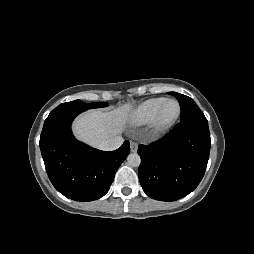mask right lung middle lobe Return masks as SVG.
<instances>
[{"label":"right lung middle lobe","mask_w":254,"mask_h":254,"mask_svg":"<svg viewBox=\"0 0 254 254\" xmlns=\"http://www.w3.org/2000/svg\"><path fill=\"white\" fill-rule=\"evenodd\" d=\"M108 104L105 102H97V103H84L81 100H75L72 102L63 103L59 106H74V107H80L83 109H92V108H99V107H105Z\"/></svg>","instance_id":"dd1d6c3e"}]
</instances>
